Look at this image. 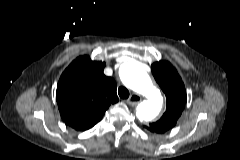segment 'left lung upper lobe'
<instances>
[{"label":"left lung upper lobe","instance_id":"1","mask_svg":"<svg viewBox=\"0 0 240 160\" xmlns=\"http://www.w3.org/2000/svg\"><path fill=\"white\" fill-rule=\"evenodd\" d=\"M151 70L166 96V111L158 121L150 123L147 129L161 134L173 128L182 114L186 104V90L181 77L169 62H155Z\"/></svg>","mask_w":240,"mask_h":160}]
</instances>
